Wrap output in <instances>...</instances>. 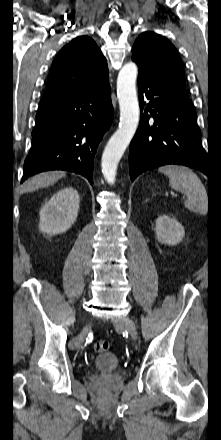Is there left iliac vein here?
Returning <instances> with one entry per match:
<instances>
[{
  "mask_svg": "<svg viewBox=\"0 0 221 440\" xmlns=\"http://www.w3.org/2000/svg\"><path fill=\"white\" fill-rule=\"evenodd\" d=\"M114 325L116 328H122L128 331L133 339L137 338V329L134 321L127 316L120 317L115 320Z\"/></svg>",
  "mask_w": 221,
  "mask_h": 440,
  "instance_id": "obj_1",
  "label": "left iliac vein"
}]
</instances>
